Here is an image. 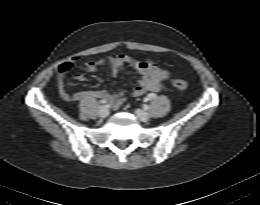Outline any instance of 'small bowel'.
Listing matches in <instances>:
<instances>
[{"label": "small bowel", "mask_w": 260, "mask_h": 205, "mask_svg": "<svg viewBox=\"0 0 260 205\" xmlns=\"http://www.w3.org/2000/svg\"><path fill=\"white\" fill-rule=\"evenodd\" d=\"M79 62V58L72 57L68 61L62 63L57 72V85L61 97L65 101L78 100L84 97H97L108 100L109 105L113 109L120 107L124 101L123 92H109L105 89L91 90L87 92H68L66 90V77L71 69ZM127 65L141 74L138 85L132 90V95L139 97L146 92H159L162 89L163 82L168 79V72L156 65L149 59H136L128 54L119 53L114 56H104L96 60L85 61L84 68L88 72H95L101 67H109L112 75L117 76L122 68ZM78 81L82 78L78 77Z\"/></svg>", "instance_id": "small-bowel-1"}]
</instances>
